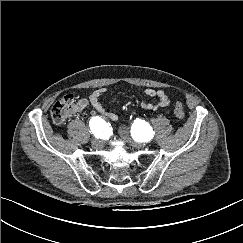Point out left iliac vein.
Segmentation results:
<instances>
[{
  "mask_svg": "<svg viewBox=\"0 0 243 243\" xmlns=\"http://www.w3.org/2000/svg\"><path fill=\"white\" fill-rule=\"evenodd\" d=\"M119 134L124 140H126L127 142H129L133 146L138 147V148L143 146L142 143H138V142H135V141L132 140V138L130 137L129 131L125 127L119 128Z\"/></svg>",
  "mask_w": 243,
  "mask_h": 243,
  "instance_id": "4c4485c4",
  "label": "left iliac vein"
}]
</instances>
